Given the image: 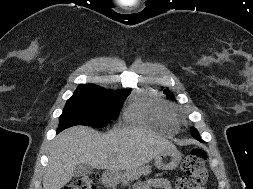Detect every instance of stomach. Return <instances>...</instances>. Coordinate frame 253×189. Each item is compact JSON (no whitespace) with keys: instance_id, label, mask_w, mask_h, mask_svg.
I'll use <instances>...</instances> for the list:
<instances>
[{"instance_id":"obj_1","label":"stomach","mask_w":253,"mask_h":189,"mask_svg":"<svg viewBox=\"0 0 253 189\" xmlns=\"http://www.w3.org/2000/svg\"><path fill=\"white\" fill-rule=\"evenodd\" d=\"M181 158L182 155L177 149L165 150L155 157V165L162 170H173L179 165ZM125 177V173L107 171L103 175V182L107 185H114L120 181H124Z\"/></svg>"}]
</instances>
